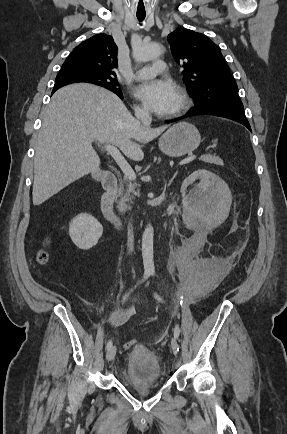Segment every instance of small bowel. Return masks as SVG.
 Here are the masks:
<instances>
[{"label":"small bowel","mask_w":287,"mask_h":434,"mask_svg":"<svg viewBox=\"0 0 287 434\" xmlns=\"http://www.w3.org/2000/svg\"><path fill=\"white\" fill-rule=\"evenodd\" d=\"M90 306L89 302H86ZM107 318L111 326L118 327L125 324L130 316L132 315V310L130 308L125 309H113L105 307Z\"/></svg>","instance_id":"c3829d8e"}]
</instances>
